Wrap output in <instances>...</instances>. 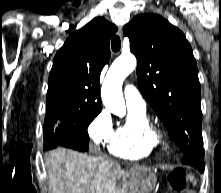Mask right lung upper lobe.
I'll return each instance as SVG.
<instances>
[{"instance_id": "obj_1", "label": "right lung upper lobe", "mask_w": 221, "mask_h": 193, "mask_svg": "<svg viewBox=\"0 0 221 193\" xmlns=\"http://www.w3.org/2000/svg\"><path fill=\"white\" fill-rule=\"evenodd\" d=\"M117 27L96 17L70 35L58 50L48 80V114L101 111L100 73L110 59L109 41Z\"/></svg>"}]
</instances>
